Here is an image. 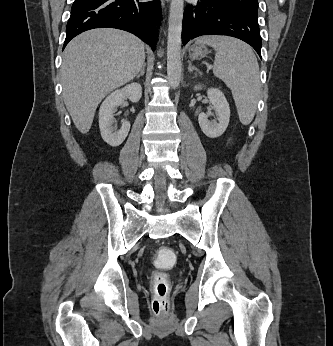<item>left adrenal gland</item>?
Returning a JSON list of instances; mask_svg holds the SVG:
<instances>
[{
	"label": "left adrenal gland",
	"instance_id": "1",
	"mask_svg": "<svg viewBox=\"0 0 333 346\" xmlns=\"http://www.w3.org/2000/svg\"><path fill=\"white\" fill-rule=\"evenodd\" d=\"M188 71L189 72H192L193 70H195L196 72L200 73V71L195 67V66H192V63L190 60H188Z\"/></svg>",
	"mask_w": 333,
	"mask_h": 346
}]
</instances>
